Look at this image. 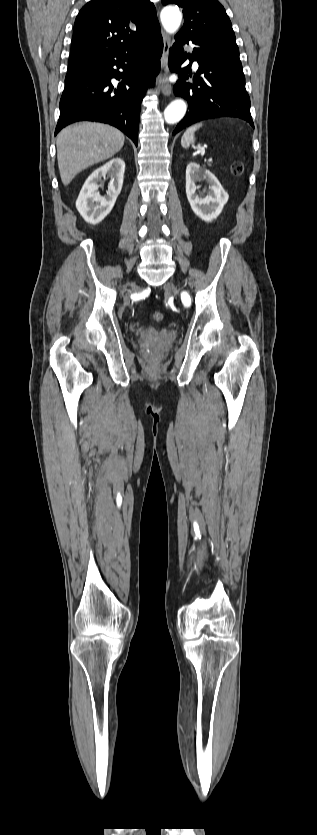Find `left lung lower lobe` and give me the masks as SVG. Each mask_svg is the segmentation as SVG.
I'll use <instances>...</instances> for the list:
<instances>
[{
  "label": "left lung lower lobe",
  "instance_id": "1",
  "mask_svg": "<svg viewBox=\"0 0 317 835\" xmlns=\"http://www.w3.org/2000/svg\"><path fill=\"white\" fill-rule=\"evenodd\" d=\"M175 39L168 65L181 78L174 86V93L188 101L190 111L173 134L195 122L218 117L240 118L254 128L238 47L204 37L190 41L196 47L191 55H183L181 44L189 41ZM187 57L199 64L191 84L183 80L192 75L190 66L180 68Z\"/></svg>",
  "mask_w": 317,
  "mask_h": 835
}]
</instances>
